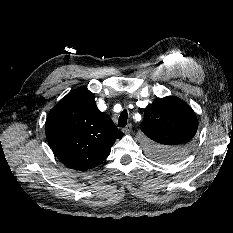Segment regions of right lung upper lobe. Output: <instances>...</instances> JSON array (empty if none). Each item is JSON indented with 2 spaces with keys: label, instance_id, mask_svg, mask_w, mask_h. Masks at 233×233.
<instances>
[{
  "label": "right lung upper lobe",
  "instance_id": "1",
  "mask_svg": "<svg viewBox=\"0 0 233 233\" xmlns=\"http://www.w3.org/2000/svg\"><path fill=\"white\" fill-rule=\"evenodd\" d=\"M46 138L59 160L71 169L85 171L110 154L121 131L101 112L87 88L67 94L49 112Z\"/></svg>",
  "mask_w": 233,
  "mask_h": 233
}]
</instances>
